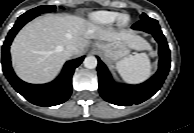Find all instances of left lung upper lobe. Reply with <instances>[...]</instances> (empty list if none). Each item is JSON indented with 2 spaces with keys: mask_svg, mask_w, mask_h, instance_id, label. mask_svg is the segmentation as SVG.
Returning <instances> with one entry per match:
<instances>
[{
  "mask_svg": "<svg viewBox=\"0 0 194 133\" xmlns=\"http://www.w3.org/2000/svg\"><path fill=\"white\" fill-rule=\"evenodd\" d=\"M146 17H148V16H147L145 13H143V14L140 16L141 19L146 18Z\"/></svg>",
  "mask_w": 194,
  "mask_h": 133,
  "instance_id": "1",
  "label": "left lung upper lobe"
}]
</instances>
